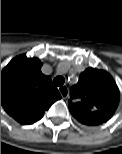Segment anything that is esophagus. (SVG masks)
<instances>
[{
  "label": "esophagus",
  "mask_w": 122,
  "mask_h": 154,
  "mask_svg": "<svg viewBox=\"0 0 122 154\" xmlns=\"http://www.w3.org/2000/svg\"><path fill=\"white\" fill-rule=\"evenodd\" d=\"M58 90H59L62 98H67V96H68V88H67V86H61V87L58 88Z\"/></svg>",
  "instance_id": "34e87169"
}]
</instances>
